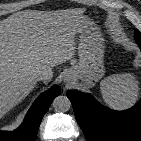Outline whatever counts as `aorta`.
<instances>
[{
	"label": "aorta",
	"instance_id": "obj_1",
	"mask_svg": "<svg viewBox=\"0 0 141 141\" xmlns=\"http://www.w3.org/2000/svg\"><path fill=\"white\" fill-rule=\"evenodd\" d=\"M53 108L57 112H67L71 108V102L67 96H57L53 101Z\"/></svg>",
	"mask_w": 141,
	"mask_h": 141
}]
</instances>
